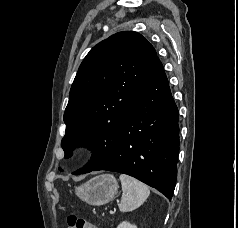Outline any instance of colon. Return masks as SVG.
Here are the masks:
<instances>
[{"label": "colon", "instance_id": "5ec220e1", "mask_svg": "<svg viewBox=\"0 0 238 228\" xmlns=\"http://www.w3.org/2000/svg\"><path fill=\"white\" fill-rule=\"evenodd\" d=\"M69 228H99L89 220L76 215H69L67 218Z\"/></svg>", "mask_w": 238, "mask_h": 228}]
</instances>
